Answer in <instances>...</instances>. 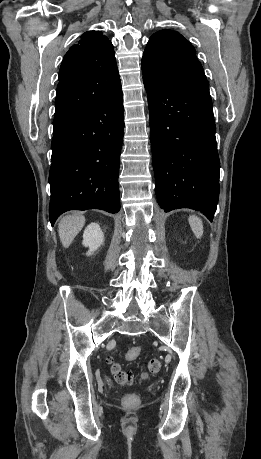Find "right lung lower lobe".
Returning <instances> with one entry per match:
<instances>
[{
	"mask_svg": "<svg viewBox=\"0 0 261 459\" xmlns=\"http://www.w3.org/2000/svg\"><path fill=\"white\" fill-rule=\"evenodd\" d=\"M124 131L122 89L53 128L49 174L53 225L68 210H120L119 161Z\"/></svg>",
	"mask_w": 261,
	"mask_h": 459,
	"instance_id": "right-lung-lower-lobe-1",
	"label": "right lung lower lobe"
}]
</instances>
